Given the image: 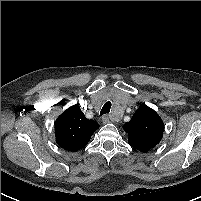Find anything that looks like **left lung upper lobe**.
I'll return each instance as SVG.
<instances>
[{"mask_svg":"<svg viewBox=\"0 0 201 201\" xmlns=\"http://www.w3.org/2000/svg\"><path fill=\"white\" fill-rule=\"evenodd\" d=\"M128 134L130 146L141 151L148 152L161 140L164 125L159 115L150 107L142 104L124 125Z\"/></svg>","mask_w":201,"mask_h":201,"instance_id":"1","label":"left lung upper lobe"}]
</instances>
